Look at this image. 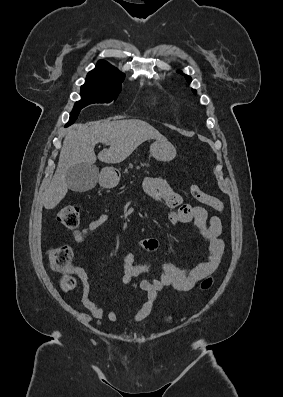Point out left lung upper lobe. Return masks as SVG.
Here are the masks:
<instances>
[{"mask_svg": "<svg viewBox=\"0 0 283 397\" xmlns=\"http://www.w3.org/2000/svg\"><path fill=\"white\" fill-rule=\"evenodd\" d=\"M179 73L183 74L181 71H178ZM184 75V74H183ZM186 80L190 83L192 81L191 77L185 75ZM194 91V90H193ZM195 92V91H194Z\"/></svg>", "mask_w": 283, "mask_h": 397, "instance_id": "1", "label": "left lung upper lobe"}]
</instances>
